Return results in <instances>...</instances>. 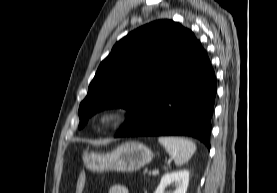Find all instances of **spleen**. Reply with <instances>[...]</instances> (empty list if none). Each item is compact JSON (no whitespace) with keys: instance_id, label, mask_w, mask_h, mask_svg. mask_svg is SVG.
<instances>
[{"instance_id":"spleen-1","label":"spleen","mask_w":277,"mask_h":193,"mask_svg":"<svg viewBox=\"0 0 277 193\" xmlns=\"http://www.w3.org/2000/svg\"><path fill=\"white\" fill-rule=\"evenodd\" d=\"M168 154L174 158L175 164L181 166L188 162L196 151V145L183 137H159Z\"/></svg>"}]
</instances>
